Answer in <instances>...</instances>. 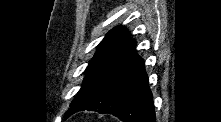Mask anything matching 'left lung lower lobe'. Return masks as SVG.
<instances>
[{"label": "left lung lower lobe", "mask_w": 221, "mask_h": 122, "mask_svg": "<svg viewBox=\"0 0 221 122\" xmlns=\"http://www.w3.org/2000/svg\"><path fill=\"white\" fill-rule=\"evenodd\" d=\"M131 40L112 72L93 96L75 112L109 113L125 122H155L154 104L144 61Z\"/></svg>", "instance_id": "obj_1"}]
</instances>
